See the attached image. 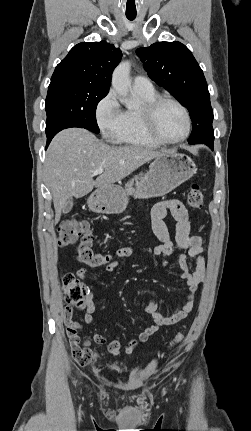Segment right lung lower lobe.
Here are the masks:
<instances>
[{"label":"right lung lower lobe","mask_w":251,"mask_h":431,"mask_svg":"<svg viewBox=\"0 0 251 431\" xmlns=\"http://www.w3.org/2000/svg\"><path fill=\"white\" fill-rule=\"evenodd\" d=\"M59 131H55L49 134H46L47 136V145L46 148L48 147L49 143L51 142L52 138L58 133Z\"/></svg>","instance_id":"obj_1"}]
</instances>
